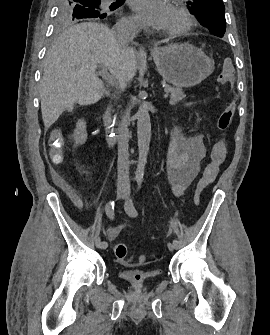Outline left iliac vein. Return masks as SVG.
Segmentation results:
<instances>
[{"instance_id": "1", "label": "left iliac vein", "mask_w": 270, "mask_h": 335, "mask_svg": "<svg viewBox=\"0 0 270 335\" xmlns=\"http://www.w3.org/2000/svg\"><path fill=\"white\" fill-rule=\"evenodd\" d=\"M124 198L127 200V201H129L128 199H129V192H127L126 194H125V196H124ZM127 212V211H126ZM127 214H128V212H127ZM167 246H168V249L170 250V251H173V250H175L176 249V247L173 245V243H168L167 244Z\"/></svg>"}]
</instances>
